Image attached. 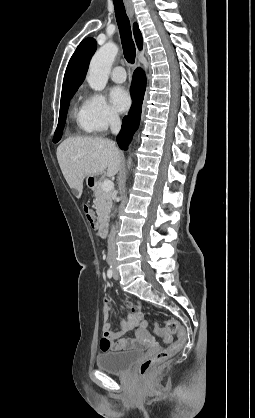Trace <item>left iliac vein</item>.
Segmentation results:
<instances>
[{"mask_svg": "<svg viewBox=\"0 0 255 418\" xmlns=\"http://www.w3.org/2000/svg\"><path fill=\"white\" fill-rule=\"evenodd\" d=\"M114 279L115 280H118L119 279V272H118V270L115 268V270H114Z\"/></svg>", "mask_w": 255, "mask_h": 418, "instance_id": "obj_1", "label": "left iliac vein"}]
</instances>
